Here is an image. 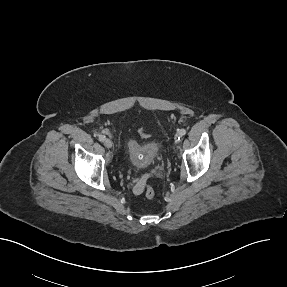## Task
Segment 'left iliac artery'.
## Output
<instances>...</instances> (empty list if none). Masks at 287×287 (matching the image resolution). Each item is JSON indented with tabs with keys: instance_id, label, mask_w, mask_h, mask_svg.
<instances>
[{
	"instance_id": "44dca946",
	"label": "left iliac artery",
	"mask_w": 287,
	"mask_h": 287,
	"mask_svg": "<svg viewBox=\"0 0 287 287\" xmlns=\"http://www.w3.org/2000/svg\"><path fill=\"white\" fill-rule=\"evenodd\" d=\"M185 134H186V130L185 129L179 130L178 133H177L178 139L180 140Z\"/></svg>"
}]
</instances>
